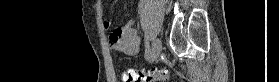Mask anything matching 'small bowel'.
Here are the masks:
<instances>
[{"mask_svg":"<svg viewBox=\"0 0 279 82\" xmlns=\"http://www.w3.org/2000/svg\"><path fill=\"white\" fill-rule=\"evenodd\" d=\"M102 11V7H100ZM103 27L108 30L111 28L110 20L103 21ZM109 46L115 51L128 55H135L139 51L140 40L136 35L134 21H129L123 27L114 28L108 37Z\"/></svg>","mask_w":279,"mask_h":82,"instance_id":"small-bowel-1","label":"small bowel"}]
</instances>
